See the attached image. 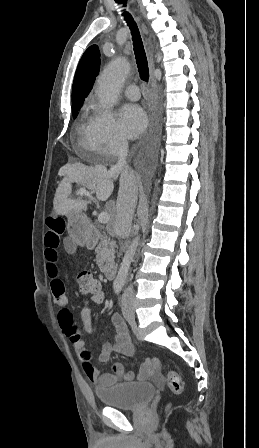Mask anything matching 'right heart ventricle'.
Returning a JSON list of instances; mask_svg holds the SVG:
<instances>
[{"instance_id": "1", "label": "right heart ventricle", "mask_w": 259, "mask_h": 448, "mask_svg": "<svg viewBox=\"0 0 259 448\" xmlns=\"http://www.w3.org/2000/svg\"><path fill=\"white\" fill-rule=\"evenodd\" d=\"M97 111L91 101H86L76 121V127L82 137L83 145L91 149V136L97 119ZM99 161L97 156H88V163Z\"/></svg>"}]
</instances>
